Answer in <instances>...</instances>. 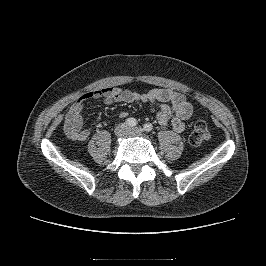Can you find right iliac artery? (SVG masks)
I'll use <instances>...</instances> for the list:
<instances>
[{"label":"right iliac artery","instance_id":"obj_1","mask_svg":"<svg viewBox=\"0 0 266 266\" xmlns=\"http://www.w3.org/2000/svg\"><path fill=\"white\" fill-rule=\"evenodd\" d=\"M125 123L128 125V126H131V127H134L137 125V120L135 118H128L126 119Z\"/></svg>","mask_w":266,"mask_h":266}]
</instances>
